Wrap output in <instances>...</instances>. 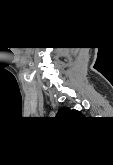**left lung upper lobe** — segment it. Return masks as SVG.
Segmentation results:
<instances>
[{
    "label": "left lung upper lobe",
    "instance_id": "left-lung-upper-lobe-1",
    "mask_svg": "<svg viewBox=\"0 0 113 165\" xmlns=\"http://www.w3.org/2000/svg\"><path fill=\"white\" fill-rule=\"evenodd\" d=\"M63 113H65V114H70V115H74V116H79L78 114H79V112L78 111H76V110H70L69 108H61L60 110H59V112H58V115H60V114H63Z\"/></svg>",
    "mask_w": 113,
    "mask_h": 165
}]
</instances>
